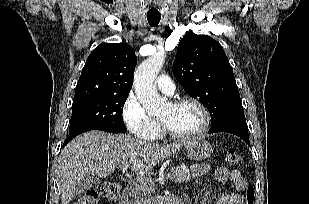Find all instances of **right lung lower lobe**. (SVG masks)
<instances>
[{"mask_svg": "<svg viewBox=\"0 0 309 204\" xmlns=\"http://www.w3.org/2000/svg\"><path fill=\"white\" fill-rule=\"evenodd\" d=\"M86 131H89V130H84V131H79V132H76V133H73L71 135H69L66 140L64 141V144H63V147L70 141L72 140L74 137H76L77 135L83 133V132H86Z\"/></svg>", "mask_w": 309, "mask_h": 204, "instance_id": "right-lung-lower-lobe-1", "label": "right lung lower lobe"}]
</instances>
